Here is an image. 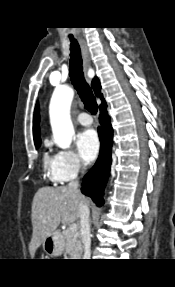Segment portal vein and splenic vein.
I'll list each match as a JSON object with an SVG mask.
<instances>
[{
	"mask_svg": "<svg viewBox=\"0 0 175 287\" xmlns=\"http://www.w3.org/2000/svg\"><path fill=\"white\" fill-rule=\"evenodd\" d=\"M69 230L71 231V232H77V225L76 224H71L70 226H69Z\"/></svg>",
	"mask_w": 175,
	"mask_h": 287,
	"instance_id": "obj_1",
	"label": "portal vein and splenic vein"
}]
</instances>
